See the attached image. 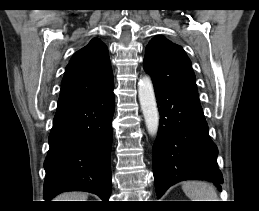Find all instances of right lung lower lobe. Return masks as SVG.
I'll list each match as a JSON object with an SVG mask.
<instances>
[{
    "label": "right lung lower lobe",
    "instance_id": "obj_1",
    "mask_svg": "<svg viewBox=\"0 0 259 211\" xmlns=\"http://www.w3.org/2000/svg\"><path fill=\"white\" fill-rule=\"evenodd\" d=\"M114 86L74 105L57 108L44 167V199L64 191H87L104 202L111 192L110 154Z\"/></svg>",
    "mask_w": 259,
    "mask_h": 211
}]
</instances>
